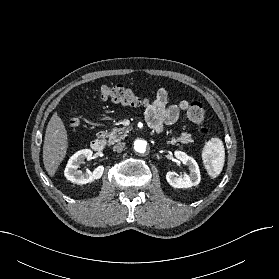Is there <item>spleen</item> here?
Returning <instances> with one entry per match:
<instances>
[{
  "label": "spleen",
  "mask_w": 279,
  "mask_h": 279,
  "mask_svg": "<svg viewBox=\"0 0 279 279\" xmlns=\"http://www.w3.org/2000/svg\"><path fill=\"white\" fill-rule=\"evenodd\" d=\"M206 168L211 178H216L222 171L225 161V148L219 138H212L205 146Z\"/></svg>",
  "instance_id": "spleen-1"
}]
</instances>
